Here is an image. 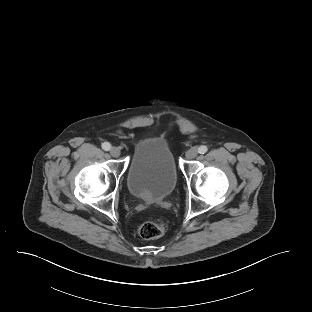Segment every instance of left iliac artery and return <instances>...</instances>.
I'll use <instances>...</instances> for the list:
<instances>
[{
	"mask_svg": "<svg viewBox=\"0 0 312 312\" xmlns=\"http://www.w3.org/2000/svg\"><path fill=\"white\" fill-rule=\"evenodd\" d=\"M208 151V148H207V146H205V145H202V146H200L199 148H198V152L200 153V154H204V153H206Z\"/></svg>",
	"mask_w": 312,
	"mask_h": 312,
	"instance_id": "left-iliac-artery-1",
	"label": "left iliac artery"
}]
</instances>
